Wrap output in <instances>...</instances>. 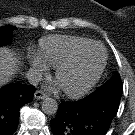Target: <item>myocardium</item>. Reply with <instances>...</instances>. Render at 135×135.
I'll use <instances>...</instances> for the list:
<instances>
[{
	"label": "myocardium",
	"mask_w": 135,
	"mask_h": 135,
	"mask_svg": "<svg viewBox=\"0 0 135 135\" xmlns=\"http://www.w3.org/2000/svg\"><path fill=\"white\" fill-rule=\"evenodd\" d=\"M92 46H99L102 48V50L104 52L103 63L100 66V68L98 69V71L90 79H88L83 85H81L79 88L69 89V88H65L62 86L64 92L68 96H71V97L81 96V95L85 94L87 91H89L98 82V80L101 78V76L105 70V67H106V63H107V59H108L107 50L102 43L93 41L92 43H89V44L81 47L80 49H78L70 57H68L64 61L60 62L56 66L55 77L59 81L61 73L64 70L73 66L79 60V58Z\"/></svg>",
	"instance_id": "1"
}]
</instances>
